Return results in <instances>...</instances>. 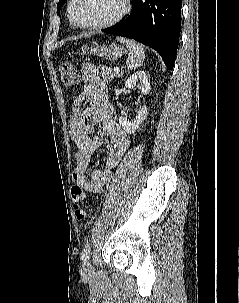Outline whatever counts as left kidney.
I'll list each match as a JSON object with an SVG mask.
<instances>
[{
    "label": "left kidney",
    "instance_id": "obj_1",
    "mask_svg": "<svg viewBox=\"0 0 239 303\" xmlns=\"http://www.w3.org/2000/svg\"><path fill=\"white\" fill-rule=\"evenodd\" d=\"M125 86L128 89L137 88L143 95H147L151 90L148 77L144 71H137L132 76H130L125 82ZM147 113V106L144 105L141 109L138 110L137 115L133 121H129L125 117H120L119 124L128 134H134L139 128L140 124H142V122L146 119Z\"/></svg>",
    "mask_w": 239,
    "mask_h": 303
}]
</instances>
